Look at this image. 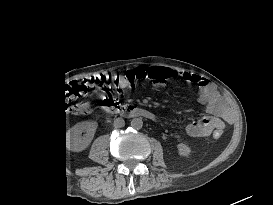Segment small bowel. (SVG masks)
<instances>
[{
    "instance_id": "small-bowel-1",
    "label": "small bowel",
    "mask_w": 273,
    "mask_h": 205,
    "mask_svg": "<svg viewBox=\"0 0 273 205\" xmlns=\"http://www.w3.org/2000/svg\"><path fill=\"white\" fill-rule=\"evenodd\" d=\"M147 74L149 77L154 74L157 77L164 78L165 81L182 78L185 81L198 84L200 99L205 103L209 115L191 121L185 125V131L190 136H210L216 130H222L226 124H229L232 121L233 114L231 109L215 85L208 79L190 72L161 67L149 68ZM163 85V82L153 83V86L156 88H160Z\"/></svg>"
}]
</instances>
